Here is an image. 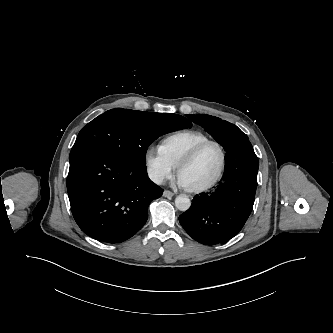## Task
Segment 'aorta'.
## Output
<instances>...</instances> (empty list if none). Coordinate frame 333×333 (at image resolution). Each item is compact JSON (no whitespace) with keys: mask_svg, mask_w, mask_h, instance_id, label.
I'll use <instances>...</instances> for the list:
<instances>
[{"mask_svg":"<svg viewBox=\"0 0 333 333\" xmlns=\"http://www.w3.org/2000/svg\"><path fill=\"white\" fill-rule=\"evenodd\" d=\"M175 206L180 211H187L191 206V201L187 196H177L175 198Z\"/></svg>","mask_w":333,"mask_h":333,"instance_id":"aorta-1","label":"aorta"}]
</instances>
